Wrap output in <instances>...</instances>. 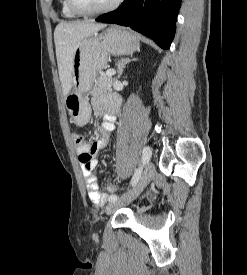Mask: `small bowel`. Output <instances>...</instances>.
<instances>
[{
	"label": "small bowel",
	"mask_w": 247,
	"mask_h": 275,
	"mask_svg": "<svg viewBox=\"0 0 247 275\" xmlns=\"http://www.w3.org/2000/svg\"><path fill=\"white\" fill-rule=\"evenodd\" d=\"M93 108L97 114L107 112L102 124L100 136L92 143H85L78 148V158L88 190V196L94 204L106 202L107 195L99 190L94 170L98 160L96 155L110 142L111 133L115 129L116 116L113 113L119 106V99L114 95H98L93 101Z\"/></svg>",
	"instance_id": "small-bowel-1"
}]
</instances>
